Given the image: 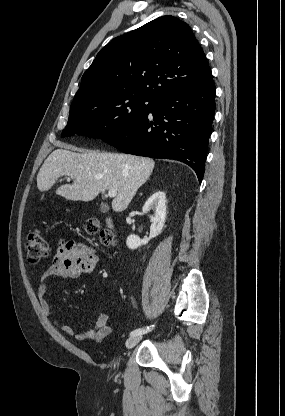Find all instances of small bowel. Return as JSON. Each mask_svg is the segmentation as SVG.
Listing matches in <instances>:
<instances>
[{
  "mask_svg": "<svg viewBox=\"0 0 285 416\" xmlns=\"http://www.w3.org/2000/svg\"><path fill=\"white\" fill-rule=\"evenodd\" d=\"M97 262L98 256L93 248L72 240L63 241L58 245L51 265L38 280L37 298L43 314L56 329L73 336L78 341H103L112 332V327L107 323L108 314L99 313L93 327L76 331L53 314L46 294L52 281L74 279L82 274L91 273Z\"/></svg>",
  "mask_w": 285,
  "mask_h": 416,
  "instance_id": "obj_1",
  "label": "small bowel"
}]
</instances>
